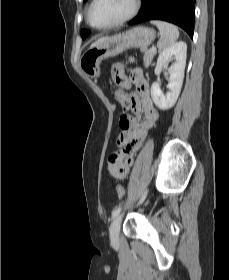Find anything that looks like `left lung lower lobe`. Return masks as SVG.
Wrapping results in <instances>:
<instances>
[{
	"mask_svg": "<svg viewBox=\"0 0 229 280\" xmlns=\"http://www.w3.org/2000/svg\"><path fill=\"white\" fill-rule=\"evenodd\" d=\"M195 0H143L139 15L130 25L148 20H163L178 25L192 38L195 20Z\"/></svg>",
	"mask_w": 229,
	"mask_h": 280,
	"instance_id": "obj_1",
	"label": "left lung lower lobe"
}]
</instances>
